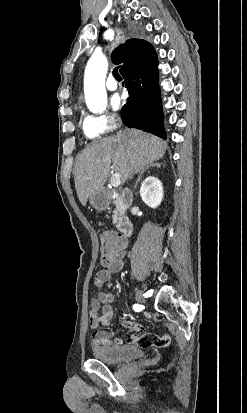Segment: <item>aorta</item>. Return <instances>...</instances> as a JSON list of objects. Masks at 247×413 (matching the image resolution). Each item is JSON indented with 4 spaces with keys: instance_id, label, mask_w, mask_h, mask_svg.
<instances>
[{
    "instance_id": "aorta-1",
    "label": "aorta",
    "mask_w": 247,
    "mask_h": 413,
    "mask_svg": "<svg viewBox=\"0 0 247 413\" xmlns=\"http://www.w3.org/2000/svg\"><path fill=\"white\" fill-rule=\"evenodd\" d=\"M108 62L103 54L96 53L89 59L84 74V95L90 111L101 113L107 106L105 77Z\"/></svg>"
}]
</instances>
